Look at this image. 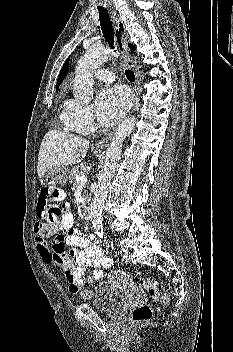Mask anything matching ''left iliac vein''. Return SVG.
Returning <instances> with one entry per match:
<instances>
[{
    "instance_id": "4c4485c4",
    "label": "left iliac vein",
    "mask_w": 233,
    "mask_h": 352,
    "mask_svg": "<svg viewBox=\"0 0 233 352\" xmlns=\"http://www.w3.org/2000/svg\"><path fill=\"white\" fill-rule=\"evenodd\" d=\"M124 255L126 256L125 261L130 262L131 261V253L129 251H125Z\"/></svg>"
}]
</instances>
